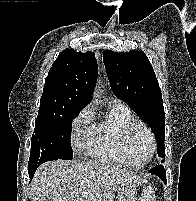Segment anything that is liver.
<instances>
[{
  "label": "liver",
  "mask_w": 196,
  "mask_h": 201,
  "mask_svg": "<svg viewBox=\"0 0 196 201\" xmlns=\"http://www.w3.org/2000/svg\"><path fill=\"white\" fill-rule=\"evenodd\" d=\"M137 174L106 161L54 160L36 170L31 201H113L120 185L140 183Z\"/></svg>",
  "instance_id": "liver-1"
}]
</instances>
